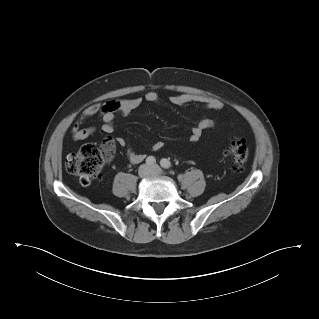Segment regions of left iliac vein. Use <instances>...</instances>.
<instances>
[{"label":"left iliac vein","mask_w":319,"mask_h":319,"mask_svg":"<svg viewBox=\"0 0 319 319\" xmlns=\"http://www.w3.org/2000/svg\"><path fill=\"white\" fill-rule=\"evenodd\" d=\"M163 170L158 165H153L151 167V175H161L163 174Z\"/></svg>","instance_id":"4c4485c4"}]
</instances>
